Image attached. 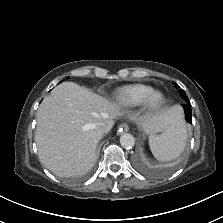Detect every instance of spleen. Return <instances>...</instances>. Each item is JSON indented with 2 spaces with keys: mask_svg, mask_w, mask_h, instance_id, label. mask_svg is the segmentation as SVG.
Listing matches in <instances>:
<instances>
[{
  "mask_svg": "<svg viewBox=\"0 0 223 223\" xmlns=\"http://www.w3.org/2000/svg\"><path fill=\"white\" fill-rule=\"evenodd\" d=\"M187 128L179 112L173 121L160 135L149 136V146L154 157L162 162L178 158L186 147Z\"/></svg>",
  "mask_w": 223,
  "mask_h": 223,
  "instance_id": "spleen-1",
  "label": "spleen"
}]
</instances>
